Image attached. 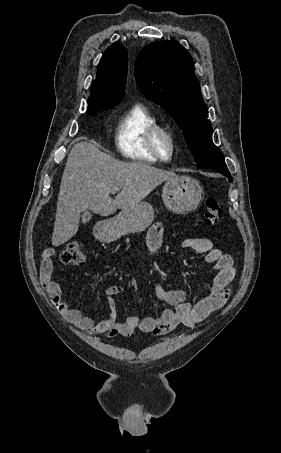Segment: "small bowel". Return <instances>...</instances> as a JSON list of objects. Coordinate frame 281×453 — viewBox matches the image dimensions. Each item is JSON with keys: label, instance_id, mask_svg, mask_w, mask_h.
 Instances as JSON below:
<instances>
[{"label": "small bowel", "instance_id": "small-bowel-1", "mask_svg": "<svg viewBox=\"0 0 281 453\" xmlns=\"http://www.w3.org/2000/svg\"><path fill=\"white\" fill-rule=\"evenodd\" d=\"M163 224L157 222L150 226L147 233V254L155 256L163 242ZM183 249L191 250L197 254H206V261L213 265L217 271L215 284L209 295L190 304L187 293L183 289L167 290L159 282L154 284V294L160 302L171 306L158 317L131 316L125 321H118L117 304L115 296L122 292V287L113 284L105 289L104 295L110 305V313L102 319H96L72 308L65 299L62 288L51 278L53 257L55 252L48 250L41 256L40 279L49 292L52 300L59 303L65 318L80 330L88 331L90 335L106 333L108 337L121 335L131 337L136 331L164 336L179 325L195 326L209 313L221 309L228 301L231 294L232 283L236 277L233 259L228 254H223L214 249L207 238H189L182 243Z\"/></svg>", "mask_w": 281, "mask_h": 453}]
</instances>
